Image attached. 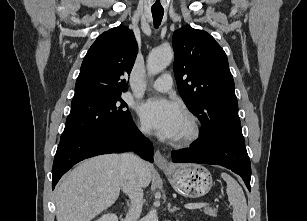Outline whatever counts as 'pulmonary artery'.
<instances>
[{
	"label": "pulmonary artery",
	"mask_w": 307,
	"mask_h": 221,
	"mask_svg": "<svg viewBox=\"0 0 307 221\" xmlns=\"http://www.w3.org/2000/svg\"><path fill=\"white\" fill-rule=\"evenodd\" d=\"M151 88L159 92H168L172 89V77L170 74L160 76L152 85Z\"/></svg>",
	"instance_id": "obj_1"
}]
</instances>
